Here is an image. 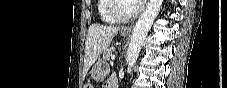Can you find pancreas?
<instances>
[{"label":"pancreas","mask_w":227,"mask_h":88,"mask_svg":"<svg viewBox=\"0 0 227 88\" xmlns=\"http://www.w3.org/2000/svg\"><path fill=\"white\" fill-rule=\"evenodd\" d=\"M112 49L111 48H108V49H106L104 52H103V55H102V57H103V59L104 60H110V58H111V56H112Z\"/></svg>","instance_id":"pancreas-1"}]
</instances>
